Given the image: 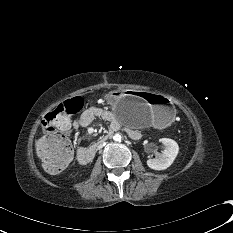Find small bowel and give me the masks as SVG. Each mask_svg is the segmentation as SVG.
<instances>
[{"instance_id": "1", "label": "small bowel", "mask_w": 233, "mask_h": 233, "mask_svg": "<svg viewBox=\"0 0 233 233\" xmlns=\"http://www.w3.org/2000/svg\"><path fill=\"white\" fill-rule=\"evenodd\" d=\"M97 118L103 119L111 126L117 125V121L112 112L99 106H91L85 109L76 120L68 121L67 129H60L59 131L69 135L77 131L79 128L88 126ZM136 133L137 132L135 130L130 131L131 135H135Z\"/></svg>"}]
</instances>
